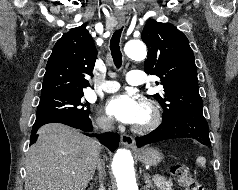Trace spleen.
Returning <instances> with one entry per match:
<instances>
[{"label":"spleen","mask_w":238,"mask_h":190,"mask_svg":"<svg viewBox=\"0 0 238 190\" xmlns=\"http://www.w3.org/2000/svg\"><path fill=\"white\" fill-rule=\"evenodd\" d=\"M196 161L201 167H205L206 159L204 157L199 156Z\"/></svg>","instance_id":"1"}]
</instances>
